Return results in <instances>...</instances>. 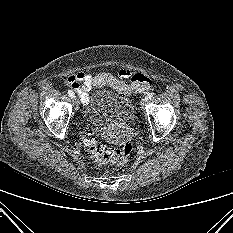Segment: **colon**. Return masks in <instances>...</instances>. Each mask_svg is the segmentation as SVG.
I'll use <instances>...</instances> for the list:
<instances>
[{
  "instance_id": "5ec220e1",
  "label": "colon",
  "mask_w": 233,
  "mask_h": 233,
  "mask_svg": "<svg viewBox=\"0 0 233 233\" xmlns=\"http://www.w3.org/2000/svg\"><path fill=\"white\" fill-rule=\"evenodd\" d=\"M91 85L92 88L110 86L122 95H126L131 91H147L151 86V80L144 74L136 73L132 76L131 83L127 84L109 73H99L92 76ZM85 145L88 155L98 165L125 166L132 151L130 144H125L121 148L108 149L98 142L91 132H87L85 135Z\"/></svg>"
}]
</instances>
